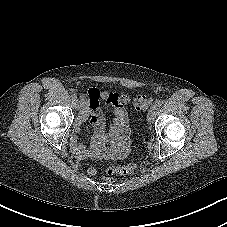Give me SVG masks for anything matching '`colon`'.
<instances>
[{
	"instance_id": "5ec220e1",
	"label": "colon",
	"mask_w": 227,
	"mask_h": 227,
	"mask_svg": "<svg viewBox=\"0 0 227 227\" xmlns=\"http://www.w3.org/2000/svg\"><path fill=\"white\" fill-rule=\"evenodd\" d=\"M128 99L124 96H121V102L126 103ZM151 98L146 95H138L132 99V105L138 111H145L151 104ZM148 140L145 139L144 142ZM137 168V165L134 163L126 165H114L109 166L106 170L109 180H113L114 176H126L132 174ZM88 172L93 174L95 172L94 167L90 166Z\"/></svg>"
}]
</instances>
